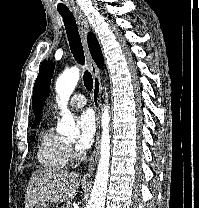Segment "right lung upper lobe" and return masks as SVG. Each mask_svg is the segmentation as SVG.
I'll return each instance as SVG.
<instances>
[{
    "label": "right lung upper lobe",
    "mask_w": 199,
    "mask_h": 208,
    "mask_svg": "<svg viewBox=\"0 0 199 208\" xmlns=\"http://www.w3.org/2000/svg\"><path fill=\"white\" fill-rule=\"evenodd\" d=\"M88 46L90 53L92 55V58L94 59L95 63L99 68H102L104 65V60L102 57L101 48L98 44V41L93 33L88 34Z\"/></svg>",
    "instance_id": "obj_1"
}]
</instances>
